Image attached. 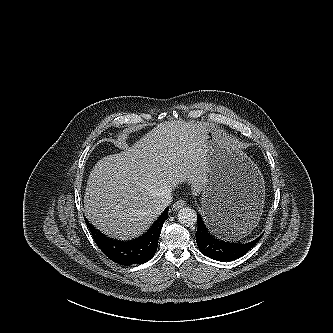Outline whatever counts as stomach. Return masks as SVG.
I'll return each mask as SVG.
<instances>
[{"label":"stomach","mask_w":333,"mask_h":333,"mask_svg":"<svg viewBox=\"0 0 333 333\" xmlns=\"http://www.w3.org/2000/svg\"><path fill=\"white\" fill-rule=\"evenodd\" d=\"M207 173L202 191L206 231L215 239L236 242L257 227L265 182L257 165L232 141L207 125Z\"/></svg>","instance_id":"stomach-1"}]
</instances>
